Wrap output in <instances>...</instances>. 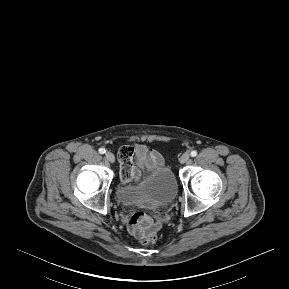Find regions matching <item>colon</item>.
I'll list each match as a JSON object with an SVG mask.
<instances>
[{"label": "colon", "mask_w": 289, "mask_h": 289, "mask_svg": "<svg viewBox=\"0 0 289 289\" xmlns=\"http://www.w3.org/2000/svg\"><path fill=\"white\" fill-rule=\"evenodd\" d=\"M138 216L143 217L146 215L144 213H138ZM156 241H157V232L156 231L149 232L141 239V242L143 244H153Z\"/></svg>", "instance_id": "1"}]
</instances>
